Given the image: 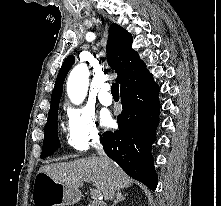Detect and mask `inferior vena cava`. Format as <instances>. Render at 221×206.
Returning a JSON list of instances; mask_svg holds the SVG:
<instances>
[{"label":"inferior vena cava","mask_w":221,"mask_h":206,"mask_svg":"<svg viewBox=\"0 0 221 206\" xmlns=\"http://www.w3.org/2000/svg\"><path fill=\"white\" fill-rule=\"evenodd\" d=\"M94 147H95V149L97 150V153H98V155H99L100 161H101L102 163H104V164H107L108 161H109V159H108V157L106 156V154H105V152H104L102 146L100 145V141H99L98 139L95 140V142H94Z\"/></svg>","instance_id":"1"}]
</instances>
